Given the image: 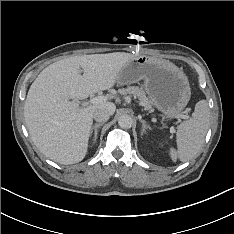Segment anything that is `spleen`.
<instances>
[{"label": "spleen", "mask_w": 234, "mask_h": 234, "mask_svg": "<svg viewBox=\"0 0 234 234\" xmlns=\"http://www.w3.org/2000/svg\"><path fill=\"white\" fill-rule=\"evenodd\" d=\"M210 125V110L205 100L195 105L192 118L178 126L176 134L177 150L170 148L169 155L173 162L179 159L186 162L199 152Z\"/></svg>", "instance_id": "3e777b00"}]
</instances>
